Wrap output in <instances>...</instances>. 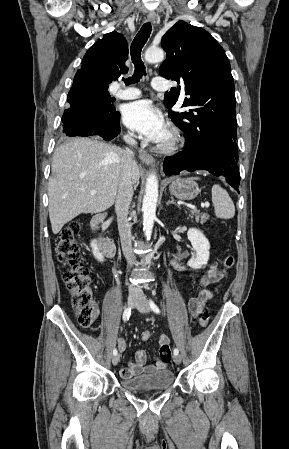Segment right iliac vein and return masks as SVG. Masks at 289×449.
Wrapping results in <instances>:
<instances>
[{"instance_id":"right-iliac-vein-1","label":"right iliac vein","mask_w":289,"mask_h":449,"mask_svg":"<svg viewBox=\"0 0 289 449\" xmlns=\"http://www.w3.org/2000/svg\"><path fill=\"white\" fill-rule=\"evenodd\" d=\"M136 303H137V295L134 294V293L129 294L128 305L133 308V307L136 306ZM118 362H119V356L118 355L113 356L112 357V364L113 365H117Z\"/></svg>"}]
</instances>
